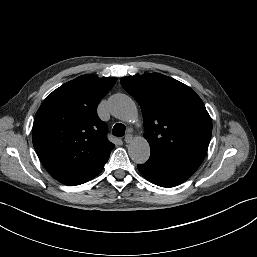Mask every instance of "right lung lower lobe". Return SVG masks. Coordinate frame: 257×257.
Instances as JSON below:
<instances>
[{"mask_svg": "<svg viewBox=\"0 0 257 257\" xmlns=\"http://www.w3.org/2000/svg\"><path fill=\"white\" fill-rule=\"evenodd\" d=\"M103 168H104V167H103ZM103 168H101V169L98 170L97 172H95V173H93L92 175H90L87 179H85V180H83V181H81V182H79V183H74V184H70V185H78V184L85 183V182H87L88 180H91V179L94 178L96 175H98V174L102 171Z\"/></svg>", "mask_w": 257, "mask_h": 257, "instance_id": "1", "label": "right lung lower lobe"}]
</instances>
